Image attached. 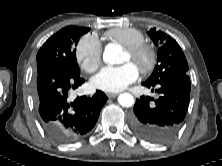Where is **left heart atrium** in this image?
I'll list each match as a JSON object with an SVG mask.
<instances>
[{"instance_id":"39dd6f15","label":"left heart atrium","mask_w":222,"mask_h":166,"mask_svg":"<svg viewBox=\"0 0 222 166\" xmlns=\"http://www.w3.org/2000/svg\"><path fill=\"white\" fill-rule=\"evenodd\" d=\"M139 77V70L131 62L121 66H107L101 69L91 80L92 85L105 92H119L135 82Z\"/></svg>"}]
</instances>
